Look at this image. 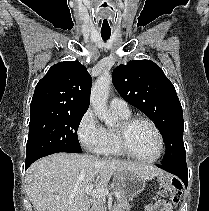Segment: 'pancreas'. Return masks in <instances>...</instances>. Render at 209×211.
Segmentation results:
<instances>
[{
  "label": "pancreas",
  "instance_id": "pancreas-1",
  "mask_svg": "<svg viewBox=\"0 0 209 211\" xmlns=\"http://www.w3.org/2000/svg\"><path fill=\"white\" fill-rule=\"evenodd\" d=\"M118 192L120 193V196L117 197V201L120 205V208H118L117 211H130L131 206L127 200L125 193L123 191ZM92 211H107L105 198L97 199Z\"/></svg>",
  "mask_w": 209,
  "mask_h": 211
}]
</instances>
